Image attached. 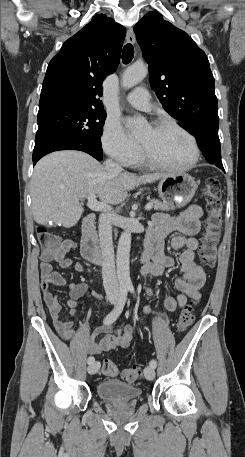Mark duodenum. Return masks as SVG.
<instances>
[{
  "label": "duodenum",
  "instance_id": "1",
  "mask_svg": "<svg viewBox=\"0 0 245 457\" xmlns=\"http://www.w3.org/2000/svg\"><path fill=\"white\" fill-rule=\"evenodd\" d=\"M95 215H88L82 225V254L83 257L90 263L101 265L104 262V255L98 248L95 242ZM152 258L151 251L145 249L140 256L142 263L148 262Z\"/></svg>",
  "mask_w": 245,
  "mask_h": 457
}]
</instances>
